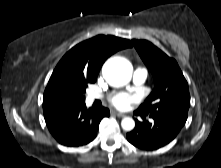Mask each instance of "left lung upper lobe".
Instances as JSON below:
<instances>
[{"mask_svg": "<svg viewBox=\"0 0 221 168\" xmlns=\"http://www.w3.org/2000/svg\"><path fill=\"white\" fill-rule=\"evenodd\" d=\"M132 43L154 78L153 91L136 111L145 116L169 117L185 123L190 94L177 62L149 41L132 40Z\"/></svg>", "mask_w": 221, "mask_h": 168, "instance_id": "5c2ea615", "label": "left lung upper lobe"}]
</instances>
